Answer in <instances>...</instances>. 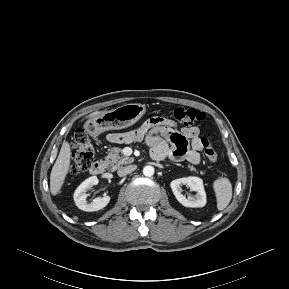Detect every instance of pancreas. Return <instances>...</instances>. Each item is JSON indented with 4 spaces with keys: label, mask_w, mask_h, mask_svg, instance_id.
Here are the masks:
<instances>
[{
    "label": "pancreas",
    "mask_w": 289,
    "mask_h": 289,
    "mask_svg": "<svg viewBox=\"0 0 289 289\" xmlns=\"http://www.w3.org/2000/svg\"><path fill=\"white\" fill-rule=\"evenodd\" d=\"M120 153L122 154L121 148L113 147L108 150V155L105 157V163L111 168L112 171L118 169L122 165H127L134 161L132 157H126L120 155ZM188 168L193 172H197V169L190 164L188 165ZM200 173L204 174L203 171Z\"/></svg>",
    "instance_id": "pancreas-1"
}]
</instances>
